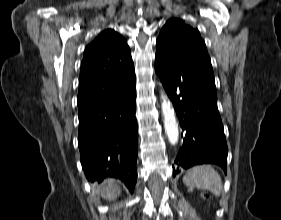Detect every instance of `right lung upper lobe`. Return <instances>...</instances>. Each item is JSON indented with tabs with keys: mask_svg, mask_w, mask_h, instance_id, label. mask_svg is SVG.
I'll list each match as a JSON object with an SVG mask.
<instances>
[{
	"mask_svg": "<svg viewBox=\"0 0 281 220\" xmlns=\"http://www.w3.org/2000/svg\"><path fill=\"white\" fill-rule=\"evenodd\" d=\"M135 80L125 39L112 29L101 32L85 49L77 102L119 90Z\"/></svg>",
	"mask_w": 281,
	"mask_h": 220,
	"instance_id": "cb5924a9",
	"label": "right lung upper lobe"
}]
</instances>
